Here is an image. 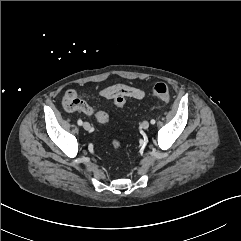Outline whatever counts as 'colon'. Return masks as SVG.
I'll return each instance as SVG.
<instances>
[{"mask_svg":"<svg viewBox=\"0 0 241 241\" xmlns=\"http://www.w3.org/2000/svg\"><path fill=\"white\" fill-rule=\"evenodd\" d=\"M127 90L123 87H115L110 91V94L113 96L114 104L121 108L125 105L127 97H126ZM153 95L155 98L163 101L168 102L170 100V91L168 86L165 83H157L153 87ZM97 120L100 123H107L109 121L108 113L102 111L98 114ZM114 148H119L120 143L118 141L113 142Z\"/></svg>","mask_w":241,"mask_h":241,"instance_id":"colon-1","label":"colon"}]
</instances>
